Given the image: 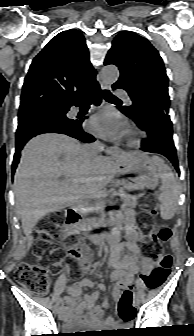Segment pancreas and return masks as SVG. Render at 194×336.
Masks as SVG:
<instances>
[{
    "label": "pancreas",
    "instance_id": "pancreas-1",
    "mask_svg": "<svg viewBox=\"0 0 194 336\" xmlns=\"http://www.w3.org/2000/svg\"><path fill=\"white\" fill-rule=\"evenodd\" d=\"M125 194L121 195L118 194V197L123 202H120V209L123 211H133L135 209V206L137 204V198L139 197V194L143 193L142 187L138 184H128L126 186Z\"/></svg>",
    "mask_w": 194,
    "mask_h": 336
}]
</instances>
